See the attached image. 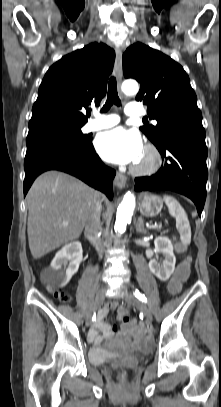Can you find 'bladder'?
<instances>
[{
	"label": "bladder",
	"instance_id": "31cf9c89",
	"mask_svg": "<svg viewBox=\"0 0 221 407\" xmlns=\"http://www.w3.org/2000/svg\"><path fill=\"white\" fill-rule=\"evenodd\" d=\"M115 358V352L109 347H92L89 350V360L94 365L104 364Z\"/></svg>",
	"mask_w": 221,
	"mask_h": 407
}]
</instances>
